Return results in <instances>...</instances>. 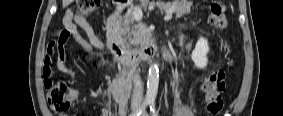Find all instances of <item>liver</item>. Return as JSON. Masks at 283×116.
Masks as SVG:
<instances>
[{"mask_svg": "<svg viewBox=\"0 0 283 116\" xmlns=\"http://www.w3.org/2000/svg\"><path fill=\"white\" fill-rule=\"evenodd\" d=\"M73 2V0H63L62 1V5L63 7H67L68 5H70Z\"/></svg>", "mask_w": 283, "mask_h": 116, "instance_id": "obj_1", "label": "liver"}]
</instances>
